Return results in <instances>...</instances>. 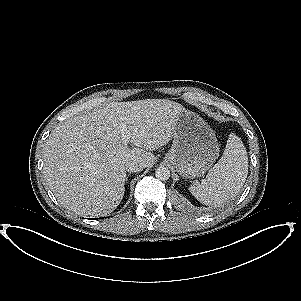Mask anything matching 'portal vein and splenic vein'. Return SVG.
Returning a JSON list of instances; mask_svg holds the SVG:
<instances>
[{
  "mask_svg": "<svg viewBox=\"0 0 301 301\" xmlns=\"http://www.w3.org/2000/svg\"><path fill=\"white\" fill-rule=\"evenodd\" d=\"M130 138L129 134H124L122 137V144L127 145L128 144V139Z\"/></svg>",
  "mask_w": 301,
  "mask_h": 301,
  "instance_id": "1",
  "label": "portal vein and splenic vein"
}]
</instances>
